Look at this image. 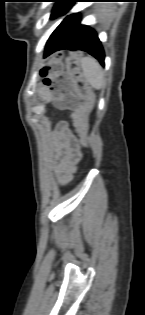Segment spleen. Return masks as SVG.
<instances>
[{"instance_id":"1","label":"spleen","mask_w":145,"mask_h":315,"mask_svg":"<svg viewBox=\"0 0 145 315\" xmlns=\"http://www.w3.org/2000/svg\"><path fill=\"white\" fill-rule=\"evenodd\" d=\"M80 63L87 83L92 88L100 90L104 85V73L98 61L91 56H87L82 57Z\"/></svg>"}]
</instances>
